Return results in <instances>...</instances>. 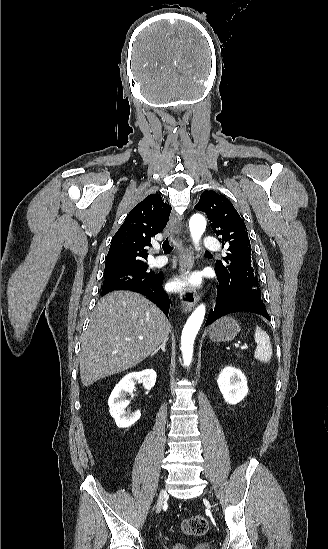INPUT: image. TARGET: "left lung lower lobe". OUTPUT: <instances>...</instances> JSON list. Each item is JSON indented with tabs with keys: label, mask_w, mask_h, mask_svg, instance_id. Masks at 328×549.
<instances>
[{
	"label": "left lung lower lobe",
	"mask_w": 328,
	"mask_h": 549,
	"mask_svg": "<svg viewBox=\"0 0 328 549\" xmlns=\"http://www.w3.org/2000/svg\"><path fill=\"white\" fill-rule=\"evenodd\" d=\"M219 280L216 305L210 310L206 325L218 318L234 312H251L269 319V315L258 294V283L224 279L217 274Z\"/></svg>",
	"instance_id": "left-lung-lower-lobe-1"
}]
</instances>
